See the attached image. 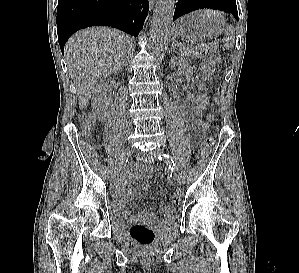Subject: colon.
<instances>
[{"instance_id":"5ec220e1","label":"colon","mask_w":299,"mask_h":273,"mask_svg":"<svg viewBox=\"0 0 299 273\" xmlns=\"http://www.w3.org/2000/svg\"><path fill=\"white\" fill-rule=\"evenodd\" d=\"M196 52L200 57H207L203 64L202 76L205 82L209 80L215 70V66L218 63V49L215 44L203 43L199 44L196 48ZM209 105V99L207 95V90L202 88L198 93L196 99L194 100L193 113L198 119H201L202 114L207 110ZM93 122L89 120L84 128L86 132L92 129ZM213 140L210 137H206L201 142V148L199 151V158L204 159L208 156L210 149L212 147ZM183 198V193L181 190H176L173 194L174 204L181 202ZM129 233L131 238L142 246L151 245L156 237L155 231L147 225L136 223L131 225L129 228Z\"/></svg>"}]
</instances>
